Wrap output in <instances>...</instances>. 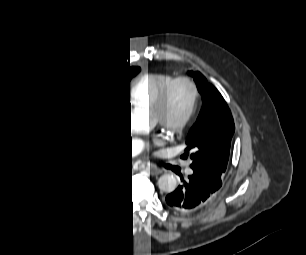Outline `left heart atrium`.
Here are the masks:
<instances>
[{
    "label": "left heart atrium",
    "instance_id": "39dd6f15",
    "mask_svg": "<svg viewBox=\"0 0 306 255\" xmlns=\"http://www.w3.org/2000/svg\"><path fill=\"white\" fill-rule=\"evenodd\" d=\"M154 141H155V143H160L159 139H155Z\"/></svg>",
    "mask_w": 306,
    "mask_h": 255
}]
</instances>
